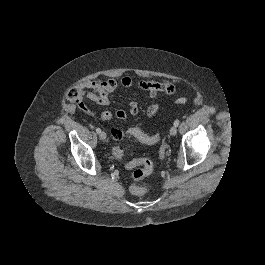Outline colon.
<instances>
[{
	"mask_svg": "<svg viewBox=\"0 0 265 265\" xmlns=\"http://www.w3.org/2000/svg\"><path fill=\"white\" fill-rule=\"evenodd\" d=\"M170 88L166 87L165 92H170ZM67 98L74 102L80 101V93L77 89H70L67 93ZM187 102L186 98H178L176 100L177 104H185ZM129 135L134 136L139 141L146 143V144H156L160 140V135H147L143 133L138 128H131L127 131ZM111 135L114 139H122L125 135L124 132L121 130H113L111 132ZM116 154H120L119 150H115ZM127 167L130 169H133L132 171V179L133 183L130 186V192L131 194L135 196H142L147 192V187L144 185H141L139 182L149 175L152 172L153 164L148 158H138L135 160H132L127 163Z\"/></svg>",
	"mask_w": 265,
	"mask_h": 265,
	"instance_id": "1",
	"label": "colon"
}]
</instances>
